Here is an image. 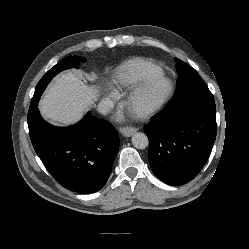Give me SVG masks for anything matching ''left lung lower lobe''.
Returning <instances> with one entry per match:
<instances>
[{"instance_id": "obj_1", "label": "left lung lower lobe", "mask_w": 249, "mask_h": 249, "mask_svg": "<svg viewBox=\"0 0 249 249\" xmlns=\"http://www.w3.org/2000/svg\"><path fill=\"white\" fill-rule=\"evenodd\" d=\"M149 163L164 183L183 185L205 165L216 138L215 107H196L178 114L164 111L144 127Z\"/></svg>"}]
</instances>
